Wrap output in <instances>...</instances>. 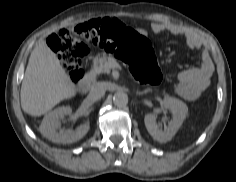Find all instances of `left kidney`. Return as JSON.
<instances>
[{"mask_svg":"<svg viewBox=\"0 0 236 182\" xmlns=\"http://www.w3.org/2000/svg\"><path fill=\"white\" fill-rule=\"evenodd\" d=\"M163 108L172 113L171 121L163 130L156 123L157 114L161 109H156L153 113L145 115L144 118V123L149 134L153 139L161 143L172 139L188 114L187 105L183 101L171 96H165Z\"/></svg>","mask_w":236,"mask_h":182,"instance_id":"left-kidney-1","label":"left kidney"}]
</instances>
